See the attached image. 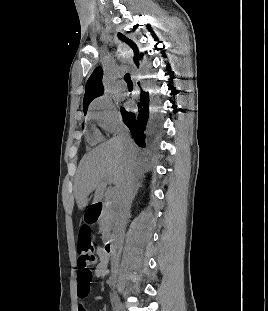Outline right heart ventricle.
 I'll return each mask as SVG.
<instances>
[{"instance_id":"1","label":"right heart ventricle","mask_w":268,"mask_h":311,"mask_svg":"<svg viewBox=\"0 0 268 311\" xmlns=\"http://www.w3.org/2000/svg\"><path fill=\"white\" fill-rule=\"evenodd\" d=\"M97 139H98V135L97 134H94V135L91 136V140L94 141V140H97Z\"/></svg>"}]
</instances>
